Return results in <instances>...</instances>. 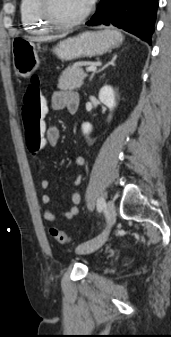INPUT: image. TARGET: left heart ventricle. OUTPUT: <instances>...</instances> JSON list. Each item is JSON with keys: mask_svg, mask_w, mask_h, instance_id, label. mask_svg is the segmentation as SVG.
Here are the masks:
<instances>
[{"mask_svg": "<svg viewBox=\"0 0 171 337\" xmlns=\"http://www.w3.org/2000/svg\"><path fill=\"white\" fill-rule=\"evenodd\" d=\"M84 0H53V10L55 15L63 20H70L78 17L86 9Z\"/></svg>", "mask_w": 171, "mask_h": 337, "instance_id": "b2bd125f", "label": "left heart ventricle"}]
</instances>
